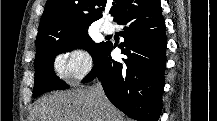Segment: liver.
<instances>
[{
  "instance_id": "1",
  "label": "liver",
  "mask_w": 217,
  "mask_h": 121,
  "mask_svg": "<svg viewBox=\"0 0 217 121\" xmlns=\"http://www.w3.org/2000/svg\"><path fill=\"white\" fill-rule=\"evenodd\" d=\"M106 98L97 101L93 89L55 92L43 97L32 110L31 121H124Z\"/></svg>"
}]
</instances>
